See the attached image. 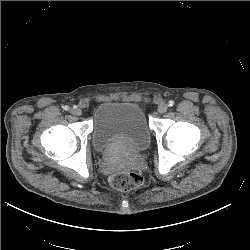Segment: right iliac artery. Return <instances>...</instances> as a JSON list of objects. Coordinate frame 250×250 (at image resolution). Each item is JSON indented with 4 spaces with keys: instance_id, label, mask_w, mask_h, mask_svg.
Masks as SVG:
<instances>
[{
    "instance_id": "82829eb1",
    "label": "right iliac artery",
    "mask_w": 250,
    "mask_h": 250,
    "mask_svg": "<svg viewBox=\"0 0 250 250\" xmlns=\"http://www.w3.org/2000/svg\"><path fill=\"white\" fill-rule=\"evenodd\" d=\"M64 110L68 111L69 107L68 106H64Z\"/></svg>"
}]
</instances>
